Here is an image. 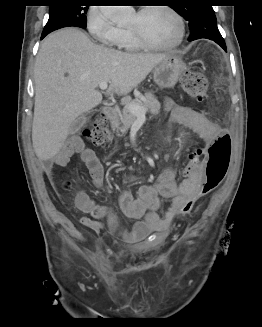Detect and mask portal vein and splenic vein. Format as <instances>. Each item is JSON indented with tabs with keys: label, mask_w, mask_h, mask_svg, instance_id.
<instances>
[{
	"label": "portal vein and splenic vein",
	"mask_w": 262,
	"mask_h": 327,
	"mask_svg": "<svg viewBox=\"0 0 262 327\" xmlns=\"http://www.w3.org/2000/svg\"><path fill=\"white\" fill-rule=\"evenodd\" d=\"M108 87V83L107 82H101L99 84V88L102 90L107 89ZM128 108L130 110V112L138 117H145L146 114V110L145 108H143L142 106H139L137 104H129Z\"/></svg>",
	"instance_id": "obj_1"
}]
</instances>
